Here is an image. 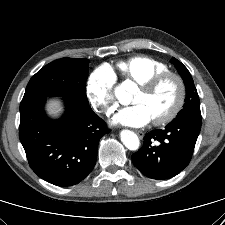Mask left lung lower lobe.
Instances as JSON below:
<instances>
[{"label":"left lung lower lobe","mask_w":225,"mask_h":225,"mask_svg":"<svg viewBox=\"0 0 225 225\" xmlns=\"http://www.w3.org/2000/svg\"><path fill=\"white\" fill-rule=\"evenodd\" d=\"M201 129V116L174 119L163 130H153L132 155L135 167L156 180L179 174L190 162Z\"/></svg>","instance_id":"left-lung-lower-lobe-1"}]
</instances>
